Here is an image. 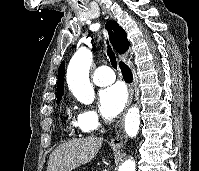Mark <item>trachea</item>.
I'll list each match as a JSON object with an SVG mask.
<instances>
[{
  "mask_svg": "<svg viewBox=\"0 0 199 171\" xmlns=\"http://www.w3.org/2000/svg\"><path fill=\"white\" fill-rule=\"evenodd\" d=\"M107 54L110 59L111 65L113 68L117 69V60L114 52L112 51L111 47L107 45Z\"/></svg>",
  "mask_w": 199,
  "mask_h": 171,
  "instance_id": "3493384b",
  "label": "trachea"
}]
</instances>
